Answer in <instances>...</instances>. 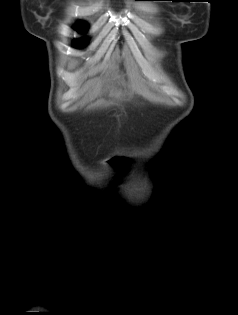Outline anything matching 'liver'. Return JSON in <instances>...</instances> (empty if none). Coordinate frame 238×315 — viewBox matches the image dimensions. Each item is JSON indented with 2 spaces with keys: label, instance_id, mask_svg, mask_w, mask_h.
<instances>
[{
  "label": "liver",
  "instance_id": "liver-1",
  "mask_svg": "<svg viewBox=\"0 0 238 315\" xmlns=\"http://www.w3.org/2000/svg\"><path fill=\"white\" fill-rule=\"evenodd\" d=\"M83 79H80L78 81V84H77V88L81 85ZM87 91H90V94L93 95V96H96L98 94V90L96 87H93V85H90V86H86L85 88L83 89H80L78 90L77 92V95L80 96V95H83L85 92ZM117 99H119V97L117 96ZM111 104H113V102H111Z\"/></svg>",
  "mask_w": 238,
  "mask_h": 315
}]
</instances>
